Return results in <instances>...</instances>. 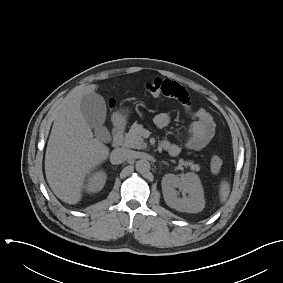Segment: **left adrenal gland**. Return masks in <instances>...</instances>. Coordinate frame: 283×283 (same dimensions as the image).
Wrapping results in <instances>:
<instances>
[{
    "mask_svg": "<svg viewBox=\"0 0 283 283\" xmlns=\"http://www.w3.org/2000/svg\"><path fill=\"white\" fill-rule=\"evenodd\" d=\"M162 163H164V164L168 165L166 162H162Z\"/></svg>",
    "mask_w": 283,
    "mask_h": 283,
    "instance_id": "left-adrenal-gland-1",
    "label": "left adrenal gland"
}]
</instances>
